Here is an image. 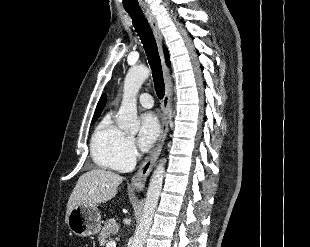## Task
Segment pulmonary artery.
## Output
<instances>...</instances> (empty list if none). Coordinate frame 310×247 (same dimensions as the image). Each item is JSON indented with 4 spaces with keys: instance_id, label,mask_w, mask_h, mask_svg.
<instances>
[{
    "instance_id": "e3ab8cb5",
    "label": "pulmonary artery",
    "mask_w": 310,
    "mask_h": 247,
    "mask_svg": "<svg viewBox=\"0 0 310 247\" xmlns=\"http://www.w3.org/2000/svg\"><path fill=\"white\" fill-rule=\"evenodd\" d=\"M139 103L145 107V108H151L154 104L153 98L150 94L148 93H142L139 97H138ZM129 169V168H127ZM126 169V170H127Z\"/></svg>"
}]
</instances>
